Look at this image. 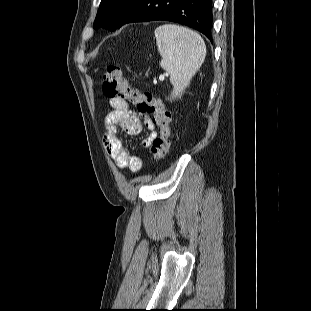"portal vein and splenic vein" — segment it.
Instances as JSON below:
<instances>
[{
  "label": "portal vein and splenic vein",
  "mask_w": 311,
  "mask_h": 311,
  "mask_svg": "<svg viewBox=\"0 0 311 311\" xmlns=\"http://www.w3.org/2000/svg\"><path fill=\"white\" fill-rule=\"evenodd\" d=\"M160 80H164V76H160V78H159Z\"/></svg>",
  "instance_id": "portal-vein-and-splenic-vein-1"
}]
</instances>
